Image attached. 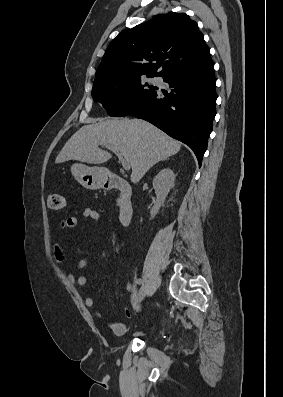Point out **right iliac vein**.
<instances>
[{
    "mask_svg": "<svg viewBox=\"0 0 283 397\" xmlns=\"http://www.w3.org/2000/svg\"><path fill=\"white\" fill-rule=\"evenodd\" d=\"M145 293H146V286L143 285V286L141 287V289H140V291H139V294H138V297H137L138 302H141V301L143 300V298H144V296H145Z\"/></svg>",
    "mask_w": 283,
    "mask_h": 397,
    "instance_id": "1",
    "label": "right iliac vein"
}]
</instances>
